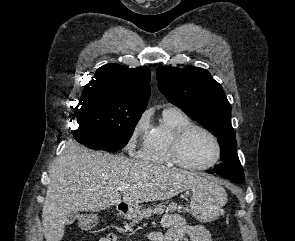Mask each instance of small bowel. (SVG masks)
I'll return each instance as SVG.
<instances>
[{"mask_svg":"<svg viewBox=\"0 0 295 241\" xmlns=\"http://www.w3.org/2000/svg\"><path fill=\"white\" fill-rule=\"evenodd\" d=\"M166 233L151 232L147 236L151 241H211L206 228L202 226L188 225L177 214H166L162 219ZM100 241H117L113 233L101 238Z\"/></svg>","mask_w":295,"mask_h":241,"instance_id":"c3829d8e","label":"small bowel"}]
</instances>
